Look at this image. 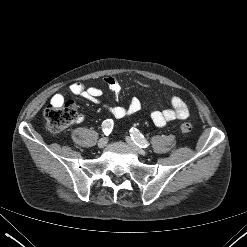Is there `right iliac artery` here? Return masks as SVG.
Masks as SVG:
<instances>
[{
	"label": "right iliac artery",
	"mask_w": 247,
	"mask_h": 247,
	"mask_svg": "<svg viewBox=\"0 0 247 247\" xmlns=\"http://www.w3.org/2000/svg\"><path fill=\"white\" fill-rule=\"evenodd\" d=\"M113 125H114V123H113L112 119H107V120L103 121L102 129H103V132L105 133V135L110 134V132L113 129Z\"/></svg>",
	"instance_id": "82829eb1"
}]
</instances>
